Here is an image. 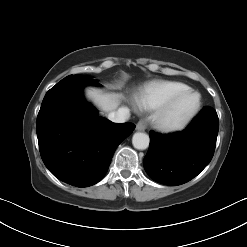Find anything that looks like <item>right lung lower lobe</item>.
Here are the masks:
<instances>
[{
	"label": "right lung lower lobe",
	"instance_id": "obj_1",
	"mask_svg": "<svg viewBox=\"0 0 247 247\" xmlns=\"http://www.w3.org/2000/svg\"><path fill=\"white\" fill-rule=\"evenodd\" d=\"M95 80L59 82L45 95L38 117L37 137L42 160L58 179L88 187L106 174L117 146L135 128L98 116L85 101L84 86Z\"/></svg>",
	"mask_w": 247,
	"mask_h": 247
}]
</instances>
